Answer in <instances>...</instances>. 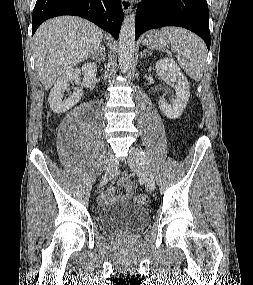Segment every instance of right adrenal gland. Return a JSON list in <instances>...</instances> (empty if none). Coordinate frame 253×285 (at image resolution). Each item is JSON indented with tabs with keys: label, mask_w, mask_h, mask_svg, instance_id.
Instances as JSON below:
<instances>
[{
	"label": "right adrenal gland",
	"mask_w": 253,
	"mask_h": 285,
	"mask_svg": "<svg viewBox=\"0 0 253 285\" xmlns=\"http://www.w3.org/2000/svg\"><path fill=\"white\" fill-rule=\"evenodd\" d=\"M103 50H104L103 47H99L97 52L91 54V56L93 58H96V60L99 64H101L102 62L105 61V54H104Z\"/></svg>",
	"instance_id": "obj_1"
}]
</instances>
